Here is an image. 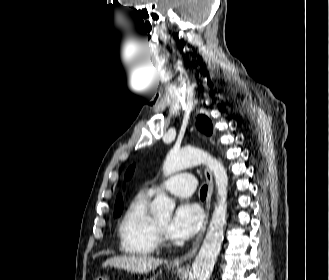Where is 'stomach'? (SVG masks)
Returning <instances> with one entry per match:
<instances>
[{
  "mask_svg": "<svg viewBox=\"0 0 329 280\" xmlns=\"http://www.w3.org/2000/svg\"><path fill=\"white\" fill-rule=\"evenodd\" d=\"M96 280H108V279L104 276H99Z\"/></svg>",
  "mask_w": 329,
  "mask_h": 280,
  "instance_id": "0dacf381",
  "label": "stomach"
}]
</instances>
